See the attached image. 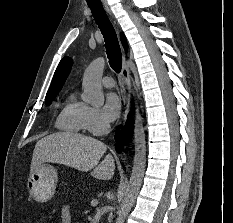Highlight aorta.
Returning <instances> with one entry per match:
<instances>
[{"label":"aorta","mask_w":233,"mask_h":223,"mask_svg":"<svg viewBox=\"0 0 233 223\" xmlns=\"http://www.w3.org/2000/svg\"><path fill=\"white\" fill-rule=\"evenodd\" d=\"M104 66V58H98V60H94V62H92V64L86 68L82 82V88L84 90L82 94V100L85 102V104H90V106H103L104 94L101 86V80ZM134 141V163L129 183L124 191L122 203L120 205V217H125L127 211H129L130 207H132L136 199V195H138L139 187L142 183L145 171V131L142 123L141 113L137 106L135 110Z\"/></svg>","instance_id":"obj_1"}]
</instances>
